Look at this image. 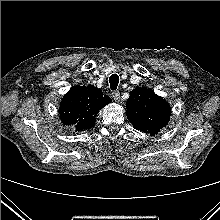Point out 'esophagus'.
Masks as SVG:
<instances>
[{"label": "esophagus", "instance_id": "esophagus-1", "mask_svg": "<svg viewBox=\"0 0 220 220\" xmlns=\"http://www.w3.org/2000/svg\"><path fill=\"white\" fill-rule=\"evenodd\" d=\"M112 98L114 99V101L118 102L120 100V93H119V91H113L112 92Z\"/></svg>", "mask_w": 220, "mask_h": 220}]
</instances>
